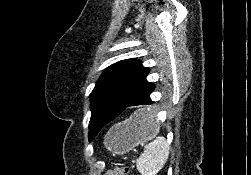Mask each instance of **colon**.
Here are the masks:
<instances>
[{
	"label": "colon",
	"mask_w": 251,
	"mask_h": 175,
	"mask_svg": "<svg viewBox=\"0 0 251 175\" xmlns=\"http://www.w3.org/2000/svg\"><path fill=\"white\" fill-rule=\"evenodd\" d=\"M129 168L127 166H118L108 170L105 175H127Z\"/></svg>",
	"instance_id": "obj_1"
}]
</instances>
